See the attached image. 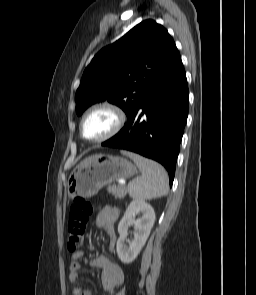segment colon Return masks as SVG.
<instances>
[{
	"instance_id": "1",
	"label": "colon",
	"mask_w": 256,
	"mask_h": 295,
	"mask_svg": "<svg viewBox=\"0 0 256 295\" xmlns=\"http://www.w3.org/2000/svg\"><path fill=\"white\" fill-rule=\"evenodd\" d=\"M94 205L83 197H76L69 209L67 225V249L78 252L83 244L86 225L94 212Z\"/></svg>"
}]
</instances>
